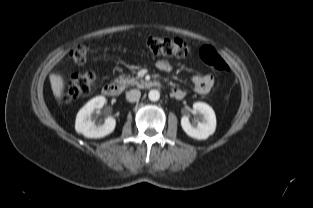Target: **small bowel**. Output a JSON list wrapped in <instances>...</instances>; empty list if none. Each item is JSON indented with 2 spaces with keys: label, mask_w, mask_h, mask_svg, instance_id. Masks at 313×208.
Masks as SVG:
<instances>
[{
  "label": "small bowel",
  "mask_w": 313,
  "mask_h": 208,
  "mask_svg": "<svg viewBox=\"0 0 313 208\" xmlns=\"http://www.w3.org/2000/svg\"><path fill=\"white\" fill-rule=\"evenodd\" d=\"M157 68L161 71L168 72L171 70V65L169 62L161 60L157 63ZM191 80L194 85V90L198 94L209 93L214 85V79L211 75H194ZM185 95V90L181 88H174L172 90V96L176 99H183Z\"/></svg>",
  "instance_id": "small-bowel-1"
}]
</instances>
